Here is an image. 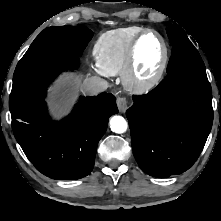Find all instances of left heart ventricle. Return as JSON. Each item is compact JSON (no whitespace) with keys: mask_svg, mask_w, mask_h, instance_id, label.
Segmentation results:
<instances>
[{"mask_svg":"<svg viewBox=\"0 0 221 221\" xmlns=\"http://www.w3.org/2000/svg\"><path fill=\"white\" fill-rule=\"evenodd\" d=\"M163 56V47L154 34L144 36L137 47L135 76L140 81L148 80L157 71Z\"/></svg>","mask_w":221,"mask_h":221,"instance_id":"1","label":"left heart ventricle"}]
</instances>
